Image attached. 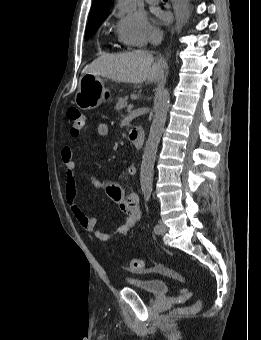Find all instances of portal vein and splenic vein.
<instances>
[{
	"instance_id": "1",
	"label": "portal vein and splenic vein",
	"mask_w": 261,
	"mask_h": 340,
	"mask_svg": "<svg viewBox=\"0 0 261 340\" xmlns=\"http://www.w3.org/2000/svg\"><path fill=\"white\" fill-rule=\"evenodd\" d=\"M127 109H128V111H131L133 109V104H129Z\"/></svg>"
}]
</instances>
